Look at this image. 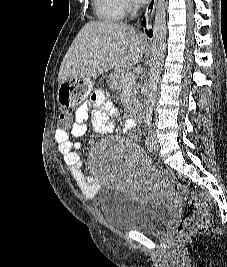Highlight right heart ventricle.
I'll return each instance as SVG.
<instances>
[{"label": "right heart ventricle", "instance_id": "obj_1", "mask_svg": "<svg viewBox=\"0 0 227 267\" xmlns=\"http://www.w3.org/2000/svg\"><path fill=\"white\" fill-rule=\"evenodd\" d=\"M97 17L106 22L119 21L123 18L125 9L121 0H93Z\"/></svg>", "mask_w": 227, "mask_h": 267}]
</instances>
